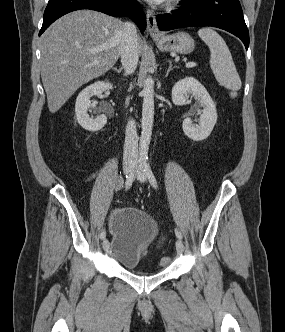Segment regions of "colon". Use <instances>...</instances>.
Here are the masks:
<instances>
[{
	"label": "colon",
	"instance_id": "obj_1",
	"mask_svg": "<svg viewBox=\"0 0 285 332\" xmlns=\"http://www.w3.org/2000/svg\"><path fill=\"white\" fill-rule=\"evenodd\" d=\"M169 261H170V258H169V257H163V258L161 259V264H167V263H169Z\"/></svg>",
	"mask_w": 285,
	"mask_h": 332
}]
</instances>
